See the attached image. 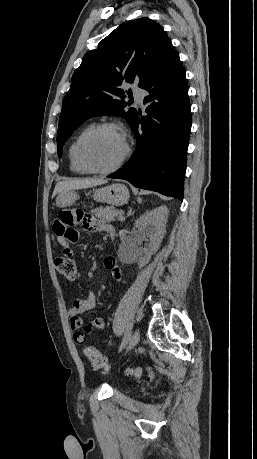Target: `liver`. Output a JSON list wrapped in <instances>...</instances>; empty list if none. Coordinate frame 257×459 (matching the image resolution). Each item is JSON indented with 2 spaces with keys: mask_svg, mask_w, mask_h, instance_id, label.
Instances as JSON below:
<instances>
[{
  "mask_svg": "<svg viewBox=\"0 0 257 459\" xmlns=\"http://www.w3.org/2000/svg\"><path fill=\"white\" fill-rule=\"evenodd\" d=\"M107 181L104 179H94V178H86V179H70L58 182L55 186L53 196L57 194H61L66 191L76 190V189H85L91 188L94 186L105 184Z\"/></svg>",
  "mask_w": 257,
  "mask_h": 459,
  "instance_id": "6515ba94",
  "label": "liver"
}]
</instances>
